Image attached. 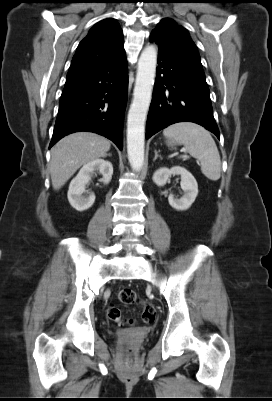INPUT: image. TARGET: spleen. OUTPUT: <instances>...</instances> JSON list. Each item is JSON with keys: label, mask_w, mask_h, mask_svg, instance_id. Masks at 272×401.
Masks as SVG:
<instances>
[{"label": "spleen", "mask_w": 272, "mask_h": 401, "mask_svg": "<svg viewBox=\"0 0 272 401\" xmlns=\"http://www.w3.org/2000/svg\"><path fill=\"white\" fill-rule=\"evenodd\" d=\"M168 145H184L189 154L200 161L202 173L210 180L217 181L221 176V160L214 139L203 127L181 122L170 125L163 131Z\"/></svg>", "instance_id": "obj_1"}]
</instances>
